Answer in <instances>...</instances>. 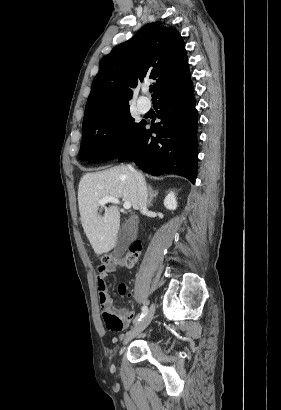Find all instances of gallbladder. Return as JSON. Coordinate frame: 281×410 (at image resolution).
I'll list each match as a JSON object with an SVG mask.
<instances>
[{
	"mask_svg": "<svg viewBox=\"0 0 281 410\" xmlns=\"http://www.w3.org/2000/svg\"><path fill=\"white\" fill-rule=\"evenodd\" d=\"M133 238L134 232L131 225V220H128L120 231L115 245L116 253L118 256H122L125 253Z\"/></svg>",
	"mask_w": 281,
	"mask_h": 410,
	"instance_id": "obj_1",
	"label": "gallbladder"
}]
</instances>
